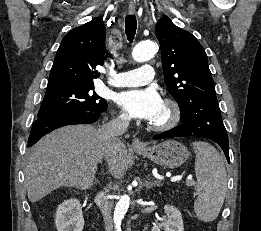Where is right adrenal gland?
Wrapping results in <instances>:
<instances>
[{"label": "right adrenal gland", "mask_w": 261, "mask_h": 231, "mask_svg": "<svg viewBox=\"0 0 261 231\" xmlns=\"http://www.w3.org/2000/svg\"><path fill=\"white\" fill-rule=\"evenodd\" d=\"M95 183H99V180H95Z\"/></svg>", "instance_id": "2a0ac1e0"}]
</instances>
